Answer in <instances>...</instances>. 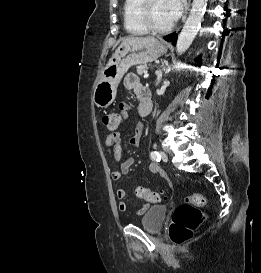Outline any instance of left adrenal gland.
<instances>
[{"instance_id": "left-adrenal-gland-1", "label": "left adrenal gland", "mask_w": 261, "mask_h": 273, "mask_svg": "<svg viewBox=\"0 0 261 273\" xmlns=\"http://www.w3.org/2000/svg\"><path fill=\"white\" fill-rule=\"evenodd\" d=\"M162 74H163V69H159V71L157 72L156 85H158L161 82Z\"/></svg>"}]
</instances>
